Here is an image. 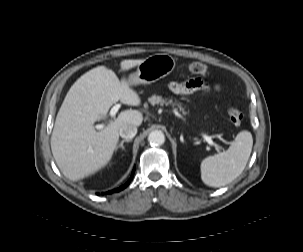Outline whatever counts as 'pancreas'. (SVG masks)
<instances>
[{"instance_id": "obj_1", "label": "pancreas", "mask_w": 303, "mask_h": 252, "mask_svg": "<svg viewBox=\"0 0 303 252\" xmlns=\"http://www.w3.org/2000/svg\"><path fill=\"white\" fill-rule=\"evenodd\" d=\"M148 101L151 105H172L173 107L177 106L178 109L184 114L186 115L187 112L184 110V108L181 106L180 103H178L177 101H173V99H167V98H163L160 95H152L151 97L148 98Z\"/></svg>"}]
</instances>
